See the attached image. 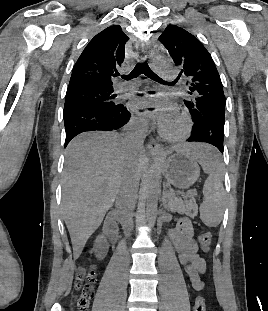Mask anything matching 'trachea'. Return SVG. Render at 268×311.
Listing matches in <instances>:
<instances>
[{
  "instance_id": "trachea-1",
  "label": "trachea",
  "mask_w": 268,
  "mask_h": 311,
  "mask_svg": "<svg viewBox=\"0 0 268 311\" xmlns=\"http://www.w3.org/2000/svg\"><path fill=\"white\" fill-rule=\"evenodd\" d=\"M140 74H144L150 79L156 81V82H164L159 76H157L148 66L147 62L143 63H137L134 69L131 71L129 75H122L123 79L130 80L133 78L138 77ZM117 76H119V73H117Z\"/></svg>"
}]
</instances>
